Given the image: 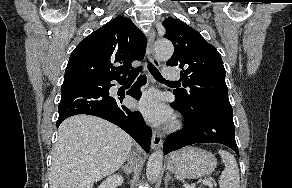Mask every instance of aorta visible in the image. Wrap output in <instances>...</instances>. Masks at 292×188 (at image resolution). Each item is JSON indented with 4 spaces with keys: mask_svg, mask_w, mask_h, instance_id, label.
<instances>
[{
    "mask_svg": "<svg viewBox=\"0 0 292 188\" xmlns=\"http://www.w3.org/2000/svg\"><path fill=\"white\" fill-rule=\"evenodd\" d=\"M155 56L160 61H167L174 52V47L169 40H157L154 45ZM163 163V152L157 150L149 157L146 176L149 181H155L161 172Z\"/></svg>",
    "mask_w": 292,
    "mask_h": 188,
    "instance_id": "obj_1",
    "label": "aorta"
}]
</instances>
